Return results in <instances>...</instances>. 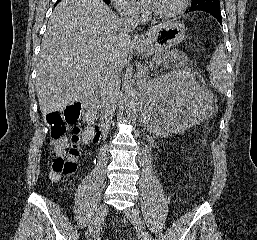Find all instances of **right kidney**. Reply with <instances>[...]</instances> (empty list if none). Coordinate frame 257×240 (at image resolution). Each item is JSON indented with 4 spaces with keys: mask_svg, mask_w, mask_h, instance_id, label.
<instances>
[{
    "mask_svg": "<svg viewBox=\"0 0 257 240\" xmlns=\"http://www.w3.org/2000/svg\"><path fill=\"white\" fill-rule=\"evenodd\" d=\"M91 137H92V132L88 128H86L81 134L82 143L83 144H88Z\"/></svg>",
    "mask_w": 257,
    "mask_h": 240,
    "instance_id": "1",
    "label": "right kidney"
}]
</instances>
